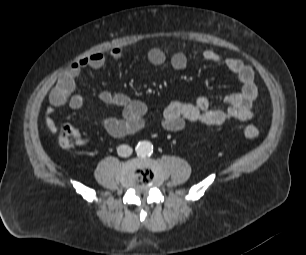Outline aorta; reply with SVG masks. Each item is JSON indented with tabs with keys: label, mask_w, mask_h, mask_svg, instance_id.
<instances>
[{
	"label": "aorta",
	"mask_w": 306,
	"mask_h": 255,
	"mask_svg": "<svg viewBox=\"0 0 306 255\" xmlns=\"http://www.w3.org/2000/svg\"><path fill=\"white\" fill-rule=\"evenodd\" d=\"M135 151L138 156H150L153 153V145L150 141H140L137 144Z\"/></svg>",
	"instance_id": "obj_1"
}]
</instances>
